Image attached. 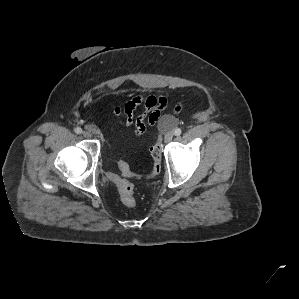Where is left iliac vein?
<instances>
[{
    "instance_id": "left-iliac-vein-1",
    "label": "left iliac vein",
    "mask_w": 299,
    "mask_h": 299,
    "mask_svg": "<svg viewBox=\"0 0 299 299\" xmlns=\"http://www.w3.org/2000/svg\"><path fill=\"white\" fill-rule=\"evenodd\" d=\"M173 136H174L173 132H171V131L167 132L164 137V141L166 143L170 142L173 139Z\"/></svg>"
}]
</instances>
